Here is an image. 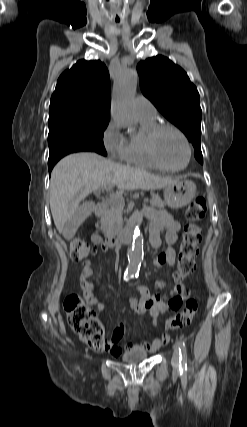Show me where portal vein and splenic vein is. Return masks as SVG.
Masks as SVG:
<instances>
[{"instance_id":"portal-vein-and-splenic-vein-1","label":"portal vein and splenic vein","mask_w":247,"mask_h":427,"mask_svg":"<svg viewBox=\"0 0 247 427\" xmlns=\"http://www.w3.org/2000/svg\"><path fill=\"white\" fill-rule=\"evenodd\" d=\"M110 198H111V200H113V201H120V202H124L123 197H122L119 193H116V194H112V195H110ZM144 202H148V198H145V199H144Z\"/></svg>"}]
</instances>
